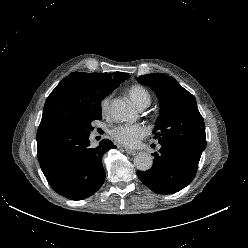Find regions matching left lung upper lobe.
Wrapping results in <instances>:
<instances>
[{"label": "left lung upper lobe", "instance_id": "5c2ea615", "mask_svg": "<svg viewBox=\"0 0 248 248\" xmlns=\"http://www.w3.org/2000/svg\"><path fill=\"white\" fill-rule=\"evenodd\" d=\"M157 95L161 111L153 130L160 145L176 146L200 160L206 147L204 120L194 96L173 77L152 73L137 77Z\"/></svg>", "mask_w": 248, "mask_h": 248}]
</instances>
